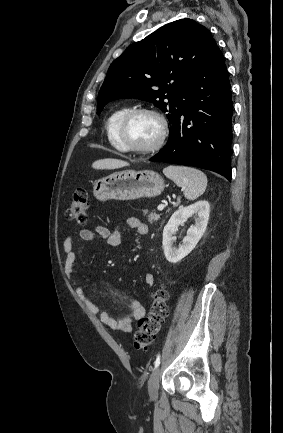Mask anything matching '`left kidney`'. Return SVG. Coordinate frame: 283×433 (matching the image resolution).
<instances>
[{
  "instance_id": "1",
  "label": "left kidney",
  "mask_w": 283,
  "mask_h": 433,
  "mask_svg": "<svg viewBox=\"0 0 283 433\" xmlns=\"http://www.w3.org/2000/svg\"><path fill=\"white\" fill-rule=\"evenodd\" d=\"M209 212V202L201 200L187 207H181L173 213L164 227L162 241L165 257L170 263L181 261L195 248L206 230ZM192 215L197 216L195 224L188 229L182 244L175 247L173 245L175 241L174 235L178 231V226Z\"/></svg>"
}]
</instances>
